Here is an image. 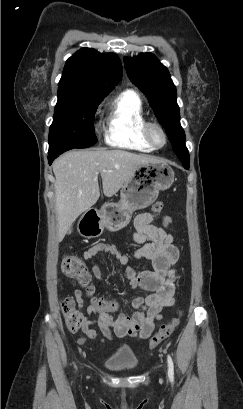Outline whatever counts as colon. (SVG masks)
<instances>
[{"label":"colon","mask_w":243,"mask_h":409,"mask_svg":"<svg viewBox=\"0 0 243 409\" xmlns=\"http://www.w3.org/2000/svg\"><path fill=\"white\" fill-rule=\"evenodd\" d=\"M163 207L164 205L162 202H156L152 206V211L154 214H158ZM60 268L66 276L77 279L80 285L84 288L86 295L92 297L93 287L90 283V275L86 265L80 259L70 255H63ZM92 305L105 310L113 309L116 306L114 302L97 299L95 297L92 298ZM79 308L77 301L72 297L62 298L61 310L65 325L70 332H76L81 326L82 313ZM181 315L182 311H179L178 317L160 327L157 333L150 339L148 345L149 349L155 348L159 343L171 336L180 323Z\"/></svg>","instance_id":"colon-1"}]
</instances>
